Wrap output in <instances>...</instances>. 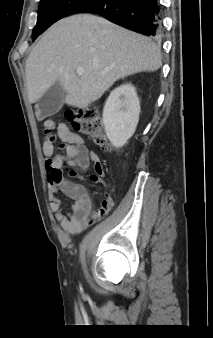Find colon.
<instances>
[{"label": "colon", "mask_w": 213, "mask_h": 338, "mask_svg": "<svg viewBox=\"0 0 213 338\" xmlns=\"http://www.w3.org/2000/svg\"><path fill=\"white\" fill-rule=\"evenodd\" d=\"M68 121L74 128L84 134L90 141L100 145L103 149L109 148L102 119L98 115L96 108L87 107L75 110H68ZM98 174H93L90 179L97 183L100 181V167L95 168ZM47 178L50 182L55 183L61 177L62 170L55 160H51L50 165L46 168ZM112 207V204L103 200L100 206L94 211V221L106 217Z\"/></svg>", "instance_id": "obj_1"}]
</instances>
